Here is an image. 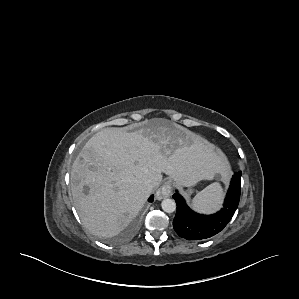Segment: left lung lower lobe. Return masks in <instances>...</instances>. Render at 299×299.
I'll return each mask as SVG.
<instances>
[{
	"label": "left lung lower lobe",
	"mask_w": 299,
	"mask_h": 299,
	"mask_svg": "<svg viewBox=\"0 0 299 299\" xmlns=\"http://www.w3.org/2000/svg\"><path fill=\"white\" fill-rule=\"evenodd\" d=\"M241 172L233 175L223 208L213 215H201L192 211L185 203L184 198L175 193L173 198L177 204L173 227L180 237L187 240H202L210 238L229 223L240 200Z\"/></svg>",
	"instance_id": "1"
}]
</instances>
